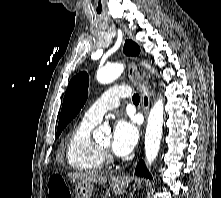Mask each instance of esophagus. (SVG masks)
I'll return each mask as SVG.
<instances>
[{"instance_id": "1", "label": "esophagus", "mask_w": 221, "mask_h": 198, "mask_svg": "<svg viewBox=\"0 0 221 198\" xmlns=\"http://www.w3.org/2000/svg\"><path fill=\"white\" fill-rule=\"evenodd\" d=\"M128 76L132 84L138 89L141 95V105L143 108V112L145 114V118L148 116L149 112V103L145 106L144 105V99L145 97L149 100L151 96V92L148 87V83L146 80H144L134 62L128 63Z\"/></svg>"}]
</instances>
